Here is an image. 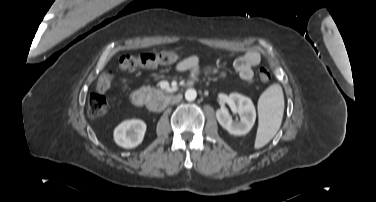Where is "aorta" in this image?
<instances>
[{"label":"aorta","instance_id":"1","mask_svg":"<svg viewBox=\"0 0 376 202\" xmlns=\"http://www.w3.org/2000/svg\"><path fill=\"white\" fill-rule=\"evenodd\" d=\"M197 97V92L195 89L193 88H189L186 92H185V99L187 101H193L195 100Z\"/></svg>","mask_w":376,"mask_h":202}]
</instances>
